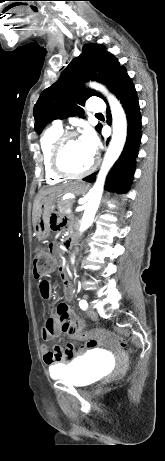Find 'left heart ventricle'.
Listing matches in <instances>:
<instances>
[{
	"mask_svg": "<svg viewBox=\"0 0 165 461\" xmlns=\"http://www.w3.org/2000/svg\"><path fill=\"white\" fill-rule=\"evenodd\" d=\"M94 155L86 148L80 137L70 139L63 150L62 163L72 172L85 170L92 162Z\"/></svg>",
	"mask_w": 165,
	"mask_h": 461,
	"instance_id": "1",
	"label": "left heart ventricle"
}]
</instances>
